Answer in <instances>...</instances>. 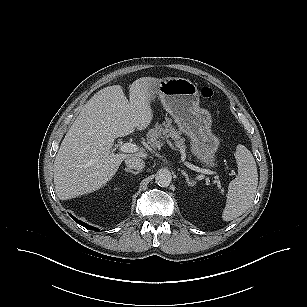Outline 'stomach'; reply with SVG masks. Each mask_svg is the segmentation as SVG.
Instances as JSON below:
<instances>
[{
    "label": "stomach",
    "instance_id": "1",
    "mask_svg": "<svg viewBox=\"0 0 307 307\" xmlns=\"http://www.w3.org/2000/svg\"><path fill=\"white\" fill-rule=\"evenodd\" d=\"M158 96L164 109L173 117L179 131L191 141V152L197 158L213 165L219 147V138L212 133V116L200 107L197 85L189 79L168 77L151 84V97Z\"/></svg>",
    "mask_w": 307,
    "mask_h": 307
}]
</instances>
